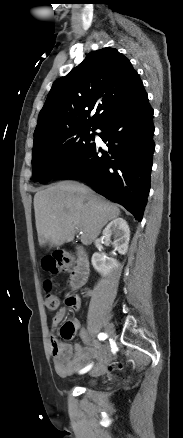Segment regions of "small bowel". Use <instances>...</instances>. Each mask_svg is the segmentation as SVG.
Returning <instances> with one entry per match:
<instances>
[{
	"label": "small bowel",
	"mask_w": 183,
	"mask_h": 438,
	"mask_svg": "<svg viewBox=\"0 0 183 438\" xmlns=\"http://www.w3.org/2000/svg\"><path fill=\"white\" fill-rule=\"evenodd\" d=\"M81 305L80 299L76 297V301L73 303L67 302V306L75 311L79 310ZM66 315V309H60L52 319V325L56 327L59 325ZM70 322L73 323L76 330H79L81 338L86 342V347L80 344H71L61 341L54 333L50 336V347L53 359V365L56 373L66 378L73 375L83 366H85L91 359L101 357L100 363L93 369L94 375H101L108 371L107 358L101 356L98 349V345L90 343L88 335L85 330L80 326V322L77 319H73Z\"/></svg>",
	"instance_id": "obj_1"
}]
</instances>
